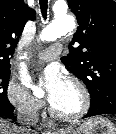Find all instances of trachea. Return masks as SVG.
<instances>
[{
  "instance_id": "obj_1",
  "label": "trachea",
  "mask_w": 116,
  "mask_h": 134,
  "mask_svg": "<svg viewBox=\"0 0 116 134\" xmlns=\"http://www.w3.org/2000/svg\"><path fill=\"white\" fill-rule=\"evenodd\" d=\"M47 6H48V0H40L41 12L44 19H46L47 17Z\"/></svg>"
}]
</instances>
